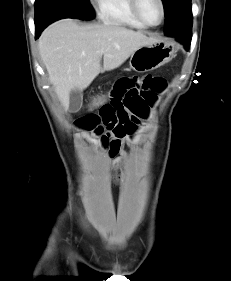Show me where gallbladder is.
I'll return each mask as SVG.
<instances>
[{
    "label": "gallbladder",
    "instance_id": "gallbladder-1",
    "mask_svg": "<svg viewBox=\"0 0 231 281\" xmlns=\"http://www.w3.org/2000/svg\"><path fill=\"white\" fill-rule=\"evenodd\" d=\"M69 96H70L69 110L71 112L79 111L82 105V92L80 90H72Z\"/></svg>",
    "mask_w": 231,
    "mask_h": 281
}]
</instances>
